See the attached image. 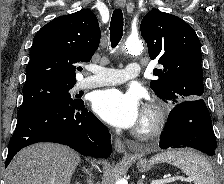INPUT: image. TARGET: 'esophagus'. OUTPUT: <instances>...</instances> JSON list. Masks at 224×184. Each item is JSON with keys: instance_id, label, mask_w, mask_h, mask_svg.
<instances>
[{"instance_id": "34e87169", "label": "esophagus", "mask_w": 224, "mask_h": 184, "mask_svg": "<svg viewBox=\"0 0 224 184\" xmlns=\"http://www.w3.org/2000/svg\"><path fill=\"white\" fill-rule=\"evenodd\" d=\"M116 6L118 8H124L125 0H116ZM114 147L118 153H126V147H125L124 143L122 142V140L118 137H116L114 140Z\"/></svg>"}]
</instances>
